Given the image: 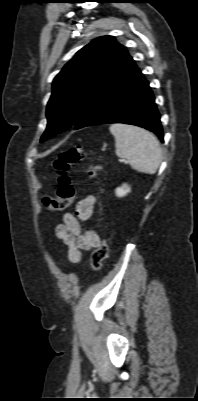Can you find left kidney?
<instances>
[{"instance_id":"5707ae66","label":"left kidney","mask_w":198,"mask_h":401,"mask_svg":"<svg viewBox=\"0 0 198 401\" xmlns=\"http://www.w3.org/2000/svg\"><path fill=\"white\" fill-rule=\"evenodd\" d=\"M131 191L130 187L127 184H123L121 187H118L115 190V194L117 197H124Z\"/></svg>"}]
</instances>
